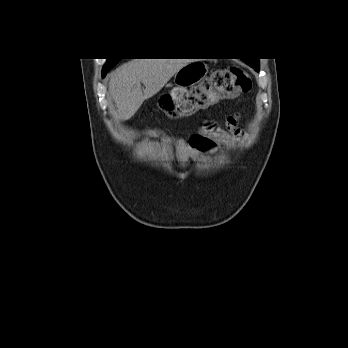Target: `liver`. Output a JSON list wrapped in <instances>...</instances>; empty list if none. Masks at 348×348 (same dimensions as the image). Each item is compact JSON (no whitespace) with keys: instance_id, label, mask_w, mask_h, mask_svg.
<instances>
[{"instance_id":"6515ba94","label":"liver","mask_w":348,"mask_h":348,"mask_svg":"<svg viewBox=\"0 0 348 348\" xmlns=\"http://www.w3.org/2000/svg\"><path fill=\"white\" fill-rule=\"evenodd\" d=\"M186 59H132L110 75L109 92L123 120L130 119L144 100L159 92ZM141 83L145 86L142 91Z\"/></svg>"}]
</instances>
